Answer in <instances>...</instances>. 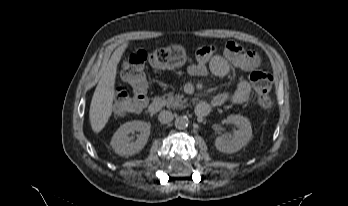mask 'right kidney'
<instances>
[{
	"label": "right kidney",
	"instance_id": "ca27d5eb",
	"mask_svg": "<svg viewBox=\"0 0 348 206\" xmlns=\"http://www.w3.org/2000/svg\"><path fill=\"white\" fill-rule=\"evenodd\" d=\"M150 128L151 124L143 121L126 122L114 133L110 144L118 155H134L146 145ZM135 131L139 134L137 139L133 141L129 134Z\"/></svg>",
	"mask_w": 348,
	"mask_h": 206
}]
</instances>
